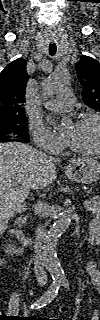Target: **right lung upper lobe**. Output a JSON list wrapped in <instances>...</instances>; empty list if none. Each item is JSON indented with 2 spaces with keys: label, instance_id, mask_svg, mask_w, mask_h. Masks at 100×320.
<instances>
[{
  "label": "right lung upper lobe",
  "instance_id": "right-lung-upper-lobe-1",
  "mask_svg": "<svg viewBox=\"0 0 100 320\" xmlns=\"http://www.w3.org/2000/svg\"><path fill=\"white\" fill-rule=\"evenodd\" d=\"M28 74L26 61L16 59L0 73V120L25 116L22 107Z\"/></svg>",
  "mask_w": 100,
  "mask_h": 320
}]
</instances>
